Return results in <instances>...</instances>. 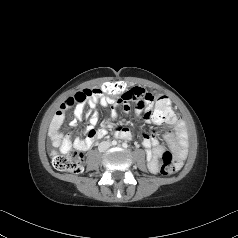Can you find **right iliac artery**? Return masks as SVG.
<instances>
[{"label": "right iliac artery", "mask_w": 238, "mask_h": 238, "mask_svg": "<svg viewBox=\"0 0 238 238\" xmlns=\"http://www.w3.org/2000/svg\"><path fill=\"white\" fill-rule=\"evenodd\" d=\"M112 145H113V146L117 145V141H116V140H113V141H112Z\"/></svg>", "instance_id": "82829eb1"}]
</instances>
